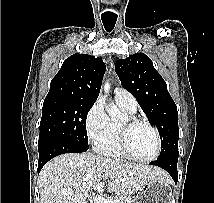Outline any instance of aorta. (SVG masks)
Listing matches in <instances>:
<instances>
[{
  "instance_id": "762f6f07",
  "label": "aorta",
  "mask_w": 214,
  "mask_h": 203,
  "mask_svg": "<svg viewBox=\"0 0 214 203\" xmlns=\"http://www.w3.org/2000/svg\"><path fill=\"white\" fill-rule=\"evenodd\" d=\"M104 91L108 92L110 89V84L108 81L105 82V84L103 85ZM108 113L109 116L111 118L112 121H117L123 118V114L121 113V111L118 109V107L116 105H112L109 109H108Z\"/></svg>"
}]
</instances>
